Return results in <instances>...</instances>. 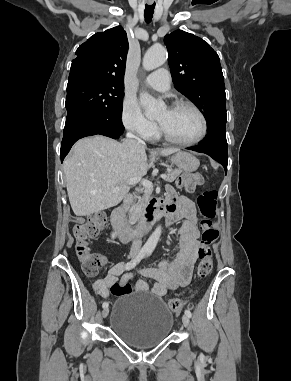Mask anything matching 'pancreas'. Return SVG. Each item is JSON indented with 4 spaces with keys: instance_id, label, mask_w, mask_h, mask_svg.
Segmentation results:
<instances>
[{
    "instance_id": "obj_1",
    "label": "pancreas",
    "mask_w": 291,
    "mask_h": 381,
    "mask_svg": "<svg viewBox=\"0 0 291 381\" xmlns=\"http://www.w3.org/2000/svg\"><path fill=\"white\" fill-rule=\"evenodd\" d=\"M181 173V171L179 169H171V168H168L167 169V174H166V181L168 182H173L177 177L178 175ZM152 194V190L151 189H146L144 191V195L142 198H139L138 202L137 203H134L130 210H129V221L131 223L135 222V220L137 219V216H138V213H139V209L141 207V205L144 203V202H147L150 198Z\"/></svg>"
}]
</instances>
